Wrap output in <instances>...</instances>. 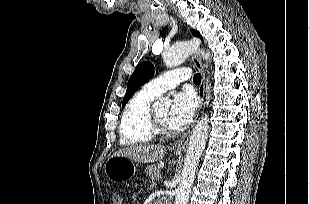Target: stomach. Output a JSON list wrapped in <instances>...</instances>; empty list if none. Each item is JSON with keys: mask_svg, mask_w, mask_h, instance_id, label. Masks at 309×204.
<instances>
[{"mask_svg": "<svg viewBox=\"0 0 309 204\" xmlns=\"http://www.w3.org/2000/svg\"><path fill=\"white\" fill-rule=\"evenodd\" d=\"M175 155L180 151H174ZM137 163L132 159L124 156H111L104 166L106 176L114 181H126L133 177L136 173Z\"/></svg>", "mask_w": 309, "mask_h": 204, "instance_id": "0dacf381", "label": "stomach"}]
</instances>
